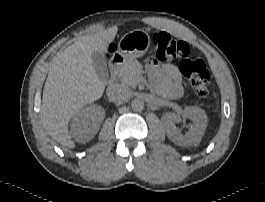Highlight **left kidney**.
<instances>
[{"instance_id": "obj_1", "label": "left kidney", "mask_w": 265, "mask_h": 202, "mask_svg": "<svg viewBox=\"0 0 265 202\" xmlns=\"http://www.w3.org/2000/svg\"><path fill=\"white\" fill-rule=\"evenodd\" d=\"M182 119H190L192 125L185 134L176 127V123ZM167 137L176 145L182 147L197 146L207 127V116L203 109L198 107H186L181 113L168 112L162 116Z\"/></svg>"}]
</instances>
